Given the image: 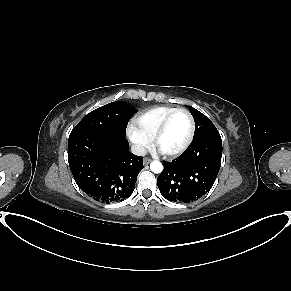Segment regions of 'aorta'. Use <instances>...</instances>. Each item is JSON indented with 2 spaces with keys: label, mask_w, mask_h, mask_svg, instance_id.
I'll return each mask as SVG.
<instances>
[{
  "label": "aorta",
  "mask_w": 291,
  "mask_h": 291,
  "mask_svg": "<svg viewBox=\"0 0 291 291\" xmlns=\"http://www.w3.org/2000/svg\"><path fill=\"white\" fill-rule=\"evenodd\" d=\"M150 168H151V171L158 174V173H161L162 170H163V165L161 162L159 161H153L151 164H150Z\"/></svg>",
  "instance_id": "aorta-1"
}]
</instances>
